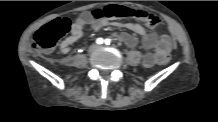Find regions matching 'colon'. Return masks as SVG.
<instances>
[{"mask_svg": "<svg viewBox=\"0 0 218 122\" xmlns=\"http://www.w3.org/2000/svg\"><path fill=\"white\" fill-rule=\"evenodd\" d=\"M96 18H117V17H134L144 21L149 27H155L159 24V18L147 11L128 9L119 5H110L103 11L96 10L93 12ZM71 23L68 18L60 17L40 28L34 37L35 46L44 52L51 51L70 29ZM172 55L166 54L160 58V65L165 66L171 62Z\"/></svg>", "mask_w": 218, "mask_h": 122, "instance_id": "5ec220e1", "label": "colon"}]
</instances>
